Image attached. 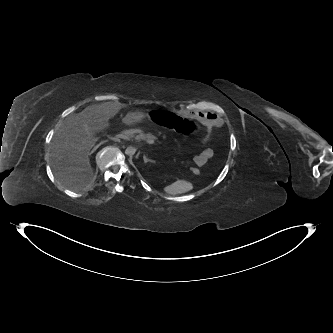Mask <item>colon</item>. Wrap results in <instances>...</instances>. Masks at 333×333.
I'll return each instance as SVG.
<instances>
[{"label":"colon","instance_id":"colon-1","mask_svg":"<svg viewBox=\"0 0 333 333\" xmlns=\"http://www.w3.org/2000/svg\"><path fill=\"white\" fill-rule=\"evenodd\" d=\"M145 118L149 124H157L165 129L174 128L177 132L184 135H196L202 131L201 126L196 121L188 118L180 119V116L175 111L152 108L146 112ZM191 172L198 174L199 170L192 168Z\"/></svg>","mask_w":333,"mask_h":333}]
</instances>
